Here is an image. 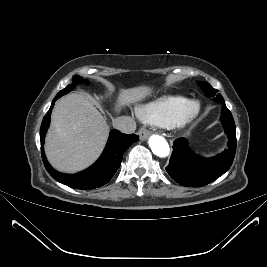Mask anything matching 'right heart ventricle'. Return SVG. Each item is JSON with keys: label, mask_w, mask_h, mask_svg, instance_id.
<instances>
[{"label": "right heart ventricle", "mask_w": 267, "mask_h": 267, "mask_svg": "<svg viewBox=\"0 0 267 267\" xmlns=\"http://www.w3.org/2000/svg\"><path fill=\"white\" fill-rule=\"evenodd\" d=\"M187 102L183 96H166L138 107L137 114L148 123L167 127Z\"/></svg>", "instance_id": "right-heart-ventricle-1"}]
</instances>
